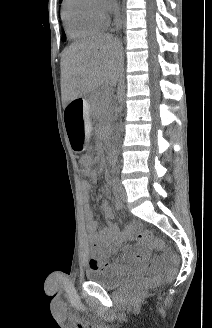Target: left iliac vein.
Segmentation results:
<instances>
[{
    "mask_svg": "<svg viewBox=\"0 0 212 328\" xmlns=\"http://www.w3.org/2000/svg\"><path fill=\"white\" fill-rule=\"evenodd\" d=\"M119 187H120L121 198L125 202L127 200L125 188L123 187V185L121 183L119 184Z\"/></svg>",
    "mask_w": 212,
    "mask_h": 328,
    "instance_id": "left-iliac-vein-1",
    "label": "left iliac vein"
}]
</instances>
